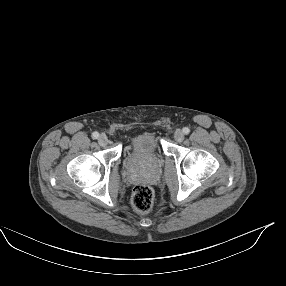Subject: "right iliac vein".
I'll use <instances>...</instances> for the list:
<instances>
[{
    "label": "right iliac vein",
    "instance_id": "63e3f726",
    "mask_svg": "<svg viewBox=\"0 0 286 286\" xmlns=\"http://www.w3.org/2000/svg\"><path fill=\"white\" fill-rule=\"evenodd\" d=\"M98 143L101 145V146H104L108 143V138L106 135L102 134L99 136L98 138Z\"/></svg>",
    "mask_w": 286,
    "mask_h": 286
}]
</instances>
